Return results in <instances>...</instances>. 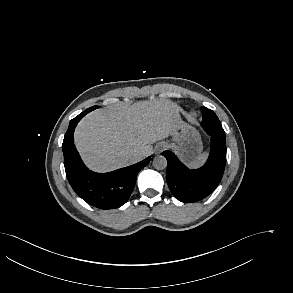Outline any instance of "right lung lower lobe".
<instances>
[{
	"instance_id": "1",
	"label": "right lung lower lobe",
	"mask_w": 293,
	"mask_h": 293,
	"mask_svg": "<svg viewBox=\"0 0 293 293\" xmlns=\"http://www.w3.org/2000/svg\"><path fill=\"white\" fill-rule=\"evenodd\" d=\"M90 111L88 109L72 119L64 136L62 150L66 176L76 194L88 204L100 209L118 208L130 197L137 174L149 163L150 157L109 173L89 170L74 148L73 136L77 123Z\"/></svg>"
}]
</instances>
